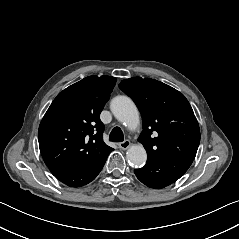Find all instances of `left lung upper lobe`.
<instances>
[{"label":"left lung upper lobe","instance_id":"left-lung-upper-lobe-1","mask_svg":"<svg viewBox=\"0 0 239 239\" xmlns=\"http://www.w3.org/2000/svg\"><path fill=\"white\" fill-rule=\"evenodd\" d=\"M119 87L141 112L143 131L138 141L146 149L147 159L194 160L200 130L182 93L160 81L141 77L122 80Z\"/></svg>","mask_w":239,"mask_h":239}]
</instances>
